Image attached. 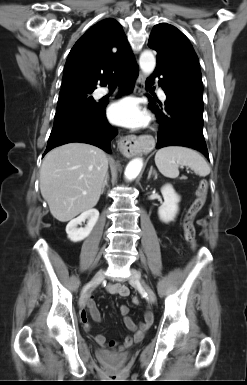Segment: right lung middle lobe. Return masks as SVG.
I'll return each instance as SVG.
<instances>
[{
	"instance_id": "1",
	"label": "right lung middle lobe",
	"mask_w": 247,
	"mask_h": 385,
	"mask_svg": "<svg viewBox=\"0 0 247 385\" xmlns=\"http://www.w3.org/2000/svg\"><path fill=\"white\" fill-rule=\"evenodd\" d=\"M94 90L90 89H69L60 91L56 115L80 107H92L96 105L91 96Z\"/></svg>"
}]
</instances>
